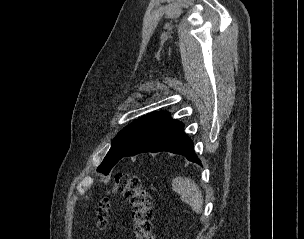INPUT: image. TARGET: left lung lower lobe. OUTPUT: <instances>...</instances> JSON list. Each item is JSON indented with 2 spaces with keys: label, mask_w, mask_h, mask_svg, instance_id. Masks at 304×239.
Instances as JSON below:
<instances>
[{
  "label": "left lung lower lobe",
  "mask_w": 304,
  "mask_h": 239,
  "mask_svg": "<svg viewBox=\"0 0 304 239\" xmlns=\"http://www.w3.org/2000/svg\"><path fill=\"white\" fill-rule=\"evenodd\" d=\"M184 125L177 120H171L158 128L152 134L141 140L123 157L134 156L144 152L168 151L185 156L189 161L201 165L196 156L192 140L184 133Z\"/></svg>",
  "instance_id": "obj_1"
}]
</instances>
